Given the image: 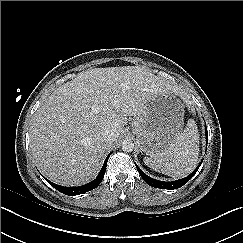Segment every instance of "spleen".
<instances>
[{"label": "spleen", "instance_id": "obj_1", "mask_svg": "<svg viewBox=\"0 0 243 243\" xmlns=\"http://www.w3.org/2000/svg\"><path fill=\"white\" fill-rule=\"evenodd\" d=\"M198 129L193 119L175 140L157 154L144 157V163L157 172L172 177H183L191 173L198 163Z\"/></svg>", "mask_w": 243, "mask_h": 243}]
</instances>
